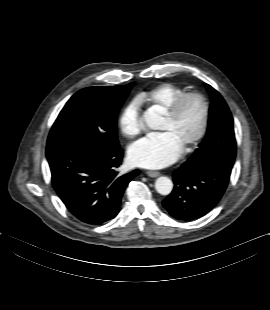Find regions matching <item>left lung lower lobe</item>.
Wrapping results in <instances>:
<instances>
[{
    "instance_id": "left-lung-lower-lobe-1",
    "label": "left lung lower lobe",
    "mask_w": 270,
    "mask_h": 310,
    "mask_svg": "<svg viewBox=\"0 0 270 310\" xmlns=\"http://www.w3.org/2000/svg\"><path fill=\"white\" fill-rule=\"evenodd\" d=\"M231 170L186 161L173 174L174 189L163 206L178 220L191 221L206 215L220 201Z\"/></svg>"
}]
</instances>
